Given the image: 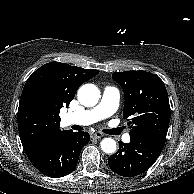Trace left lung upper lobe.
I'll use <instances>...</instances> for the list:
<instances>
[{"mask_svg": "<svg viewBox=\"0 0 194 194\" xmlns=\"http://www.w3.org/2000/svg\"><path fill=\"white\" fill-rule=\"evenodd\" d=\"M112 78L125 94L123 117L131 130L165 138L170 122V105L164 82L146 71L114 72Z\"/></svg>", "mask_w": 194, "mask_h": 194, "instance_id": "obj_1", "label": "left lung upper lobe"}]
</instances>
